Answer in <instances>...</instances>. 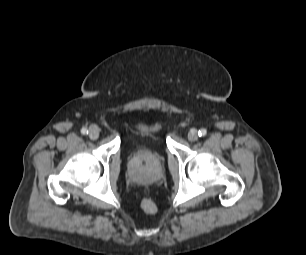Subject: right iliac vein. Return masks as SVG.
<instances>
[{"label": "right iliac vein", "mask_w": 306, "mask_h": 255, "mask_svg": "<svg viewBox=\"0 0 306 255\" xmlns=\"http://www.w3.org/2000/svg\"><path fill=\"white\" fill-rule=\"evenodd\" d=\"M100 130L96 125H93L89 128V137L93 140L99 137Z\"/></svg>", "instance_id": "obj_1"}]
</instances>
